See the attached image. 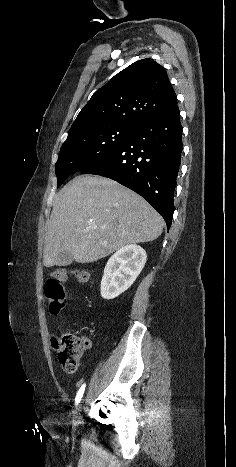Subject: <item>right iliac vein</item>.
Wrapping results in <instances>:
<instances>
[{
    "instance_id": "obj_1",
    "label": "right iliac vein",
    "mask_w": 236,
    "mask_h": 467,
    "mask_svg": "<svg viewBox=\"0 0 236 467\" xmlns=\"http://www.w3.org/2000/svg\"><path fill=\"white\" fill-rule=\"evenodd\" d=\"M81 409H82V406L79 405V406L77 407V412H76L75 417H74V421H75V424H76V425H79V424L82 423V416H81V414H80Z\"/></svg>"
}]
</instances>
